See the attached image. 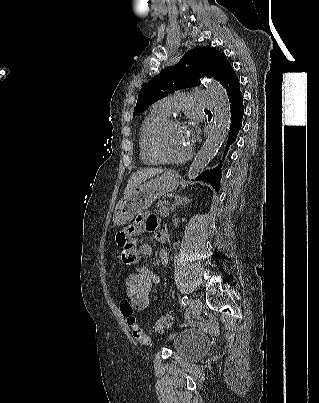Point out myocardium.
<instances>
[{
	"instance_id": "myocardium-1",
	"label": "myocardium",
	"mask_w": 319,
	"mask_h": 403,
	"mask_svg": "<svg viewBox=\"0 0 319 403\" xmlns=\"http://www.w3.org/2000/svg\"><path fill=\"white\" fill-rule=\"evenodd\" d=\"M175 125L182 126L183 123L180 119H177V118H167L156 128V130L154 131V133L152 135L151 150H152L153 154L161 162L169 163V164H179V163H183V162L189 160L193 154L192 146H190V149L188 150V152L185 155L178 157V158L169 157L163 152L162 146H161L162 136L169 127L175 126Z\"/></svg>"
}]
</instances>
